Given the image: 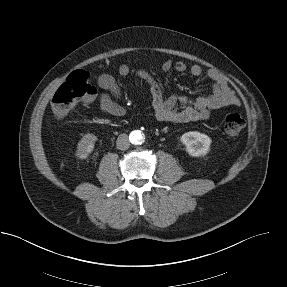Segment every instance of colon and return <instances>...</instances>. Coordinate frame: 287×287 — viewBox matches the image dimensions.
Here are the masks:
<instances>
[{"mask_svg": "<svg viewBox=\"0 0 287 287\" xmlns=\"http://www.w3.org/2000/svg\"><path fill=\"white\" fill-rule=\"evenodd\" d=\"M97 94L87 72H73L58 88L51 101V108L58 118H64L79 103L92 101ZM245 126L244 118L238 113H229L224 119V130L228 135H237Z\"/></svg>", "mask_w": 287, "mask_h": 287, "instance_id": "colon-1", "label": "colon"}]
</instances>
